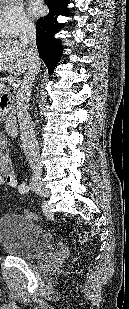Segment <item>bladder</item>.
<instances>
[{
    "label": "bladder",
    "instance_id": "31cf9c89",
    "mask_svg": "<svg viewBox=\"0 0 129 309\" xmlns=\"http://www.w3.org/2000/svg\"><path fill=\"white\" fill-rule=\"evenodd\" d=\"M0 244L12 255L33 259L51 251L55 240L24 214L8 213L0 217Z\"/></svg>",
    "mask_w": 129,
    "mask_h": 309
}]
</instances>
